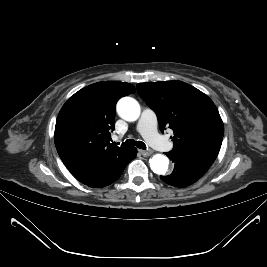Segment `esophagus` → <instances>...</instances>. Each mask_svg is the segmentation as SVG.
I'll list each match as a JSON object with an SVG mask.
<instances>
[{
    "label": "esophagus",
    "instance_id": "obj_1",
    "mask_svg": "<svg viewBox=\"0 0 267 267\" xmlns=\"http://www.w3.org/2000/svg\"><path fill=\"white\" fill-rule=\"evenodd\" d=\"M139 152L143 155V156H149L152 154L151 151H147V150H139Z\"/></svg>",
    "mask_w": 267,
    "mask_h": 267
}]
</instances>
